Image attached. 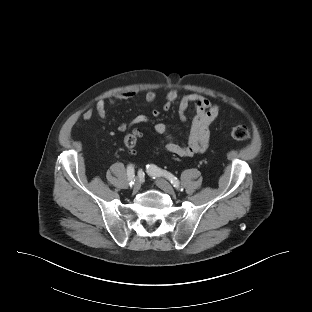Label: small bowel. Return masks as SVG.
<instances>
[{
    "label": "small bowel",
    "mask_w": 312,
    "mask_h": 312,
    "mask_svg": "<svg viewBox=\"0 0 312 312\" xmlns=\"http://www.w3.org/2000/svg\"><path fill=\"white\" fill-rule=\"evenodd\" d=\"M135 92H123L115 95L107 103L100 100L96 103L95 108L86 109L82 113L84 120H90L94 114L101 118H106L108 105H113L118 101H125L134 98ZM144 99L146 102L151 103L156 99V93L152 90L146 92ZM178 102V117L181 121L187 120V110L190 106L195 109V115L191 121L190 130L186 144L176 142L169 134L168 128L164 123H157L154 127L155 132L160 136H165L167 141L164 148L167 152L178 157H192L196 154L203 153L209 146L210 142V127L212 123L218 118L220 114V107L212 103L208 98L201 94L189 93L182 97L176 90H170L165 96L163 110L168 111L171 107ZM153 117H158L160 111L153 109L151 111ZM148 121V117L144 114H139L133 118L130 123L123 122L118 126L120 132H126L130 127L141 125Z\"/></svg>",
    "instance_id": "obj_1"
}]
</instances>
